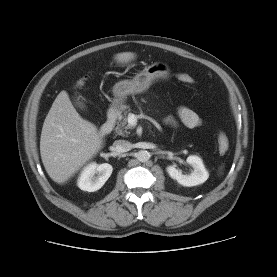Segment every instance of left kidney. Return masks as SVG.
<instances>
[{
    "mask_svg": "<svg viewBox=\"0 0 277 277\" xmlns=\"http://www.w3.org/2000/svg\"><path fill=\"white\" fill-rule=\"evenodd\" d=\"M186 161L193 167V171L188 175H184L182 174V171L176 169L175 166H168L166 170L170 177L175 179L179 184L187 187L204 183L208 179L209 173L206 170L202 159L196 155H190Z\"/></svg>",
    "mask_w": 277,
    "mask_h": 277,
    "instance_id": "left-kidney-1",
    "label": "left kidney"
}]
</instances>
